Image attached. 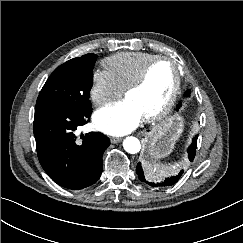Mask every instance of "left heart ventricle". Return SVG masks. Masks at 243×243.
I'll return each instance as SVG.
<instances>
[{
  "instance_id": "obj_1",
  "label": "left heart ventricle",
  "mask_w": 243,
  "mask_h": 243,
  "mask_svg": "<svg viewBox=\"0 0 243 243\" xmlns=\"http://www.w3.org/2000/svg\"><path fill=\"white\" fill-rule=\"evenodd\" d=\"M175 82V68L169 61L156 63L144 84L129 92L126 98L132 101L144 116L155 111L169 96Z\"/></svg>"
}]
</instances>
